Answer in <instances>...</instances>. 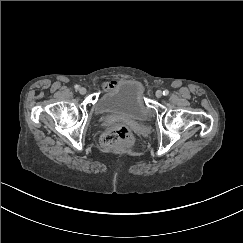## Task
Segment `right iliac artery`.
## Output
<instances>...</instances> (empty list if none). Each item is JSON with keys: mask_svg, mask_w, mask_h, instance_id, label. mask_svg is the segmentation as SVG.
Listing matches in <instances>:
<instances>
[{"mask_svg": "<svg viewBox=\"0 0 243 243\" xmlns=\"http://www.w3.org/2000/svg\"><path fill=\"white\" fill-rule=\"evenodd\" d=\"M74 88H75L76 90H78L80 87H79V85H75Z\"/></svg>", "mask_w": 243, "mask_h": 243, "instance_id": "1", "label": "right iliac artery"}]
</instances>
